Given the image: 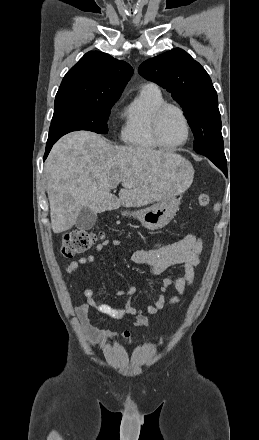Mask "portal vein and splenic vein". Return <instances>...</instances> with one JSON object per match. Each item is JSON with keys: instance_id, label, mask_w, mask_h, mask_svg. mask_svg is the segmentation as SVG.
Here are the masks:
<instances>
[{"instance_id": "obj_1", "label": "portal vein and splenic vein", "mask_w": 259, "mask_h": 440, "mask_svg": "<svg viewBox=\"0 0 259 440\" xmlns=\"http://www.w3.org/2000/svg\"><path fill=\"white\" fill-rule=\"evenodd\" d=\"M122 185H123V186H125V187H127V184H125V183H124V184H122Z\"/></svg>"}]
</instances>
